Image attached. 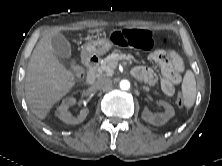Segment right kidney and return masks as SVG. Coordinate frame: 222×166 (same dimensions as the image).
Instances as JSON below:
<instances>
[{"label":"right kidney","instance_id":"right-kidney-1","mask_svg":"<svg viewBox=\"0 0 222 166\" xmlns=\"http://www.w3.org/2000/svg\"><path fill=\"white\" fill-rule=\"evenodd\" d=\"M75 103L76 99L74 97L64 99L62 104L57 108L55 115L67 124H79L83 122L87 117L89 110L88 108H84L77 117H73L68 111V108Z\"/></svg>","mask_w":222,"mask_h":166}]
</instances>
